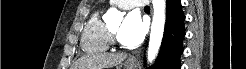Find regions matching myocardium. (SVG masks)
I'll use <instances>...</instances> for the list:
<instances>
[{"mask_svg": "<svg viewBox=\"0 0 246 69\" xmlns=\"http://www.w3.org/2000/svg\"><path fill=\"white\" fill-rule=\"evenodd\" d=\"M110 33H111L112 38L116 39V34L112 30L110 31Z\"/></svg>", "mask_w": 246, "mask_h": 69, "instance_id": "myocardium-1", "label": "myocardium"}]
</instances>
